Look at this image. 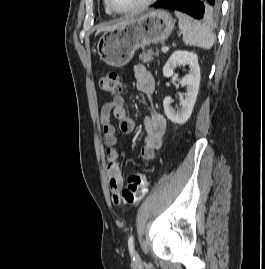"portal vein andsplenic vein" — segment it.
<instances>
[{
	"label": "portal vein and splenic vein",
	"mask_w": 265,
	"mask_h": 269,
	"mask_svg": "<svg viewBox=\"0 0 265 269\" xmlns=\"http://www.w3.org/2000/svg\"><path fill=\"white\" fill-rule=\"evenodd\" d=\"M168 49H169V47L164 46V47L161 48V51H162L163 53H166V52L168 51Z\"/></svg>",
	"instance_id": "1"
}]
</instances>
